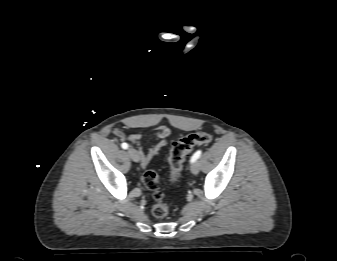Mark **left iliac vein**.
<instances>
[{"mask_svg": "<svg viewBox=\"0 0 337 261\" xmlns=\"http://www.w3.org/2000/svg\"><path fill=\"white\" fill-rule=\"evenodd\" d=\"M190 170L193 174H197L199 172V165L197 162H192L190 166Z\"/></svg>", "mask_w": 337, "mask_h": 261, "instance_id": "left-iliac-vein-1", "label": "left iliac vein"}]
</instances>
